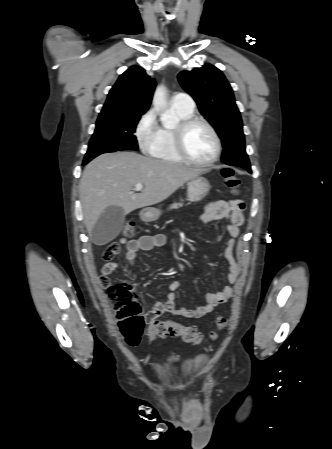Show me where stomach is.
I'll return each instance as SVG.
<instances>
[{
    "instance_id": "stomach-1",
    "label": "stomach",
    "mask_w": 332,
    "mask_h": 449,
    "mask_svg": "<svg viewBox=\"0 0 332 449\" xmlns=\"http://www.w3.org/2000/svg\"><path fill=\"white\" fill-rule=\"evenodd\" d=\"M210 190L208 180L202 176L192 178L187 183V196L190 202H200L203 200ZM161 215V211L157 208L148 207L140 212V218L144 222L156 221Z\"/></svg>"
}]
</instances>
